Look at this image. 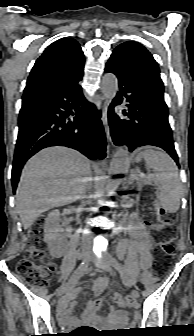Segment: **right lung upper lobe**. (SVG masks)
<instances>
[{
    "label": "right lung upper lobe",
    "instance_id": "1",
    "mask_svg": "<svg viewBox=\"0 0 194 336\" xmlns=\"http://www.w3.org/2000/svg\"><path fill=\"white\" fill-rule=\"evenodd\" d=\"M84 54L74 39L52 43L38 58L28 77L23 99L53 90L83 71Z\"/></svg>",
    "mask_w": 194,
    "mask_h": 336
}]
</instances>
